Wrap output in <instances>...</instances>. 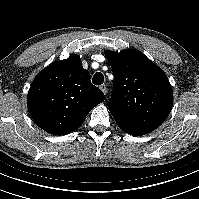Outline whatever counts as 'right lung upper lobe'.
Listing matches in <instances>:
<instances>
[{
    "instance_id": "obj_1",
    "label": "right lung upper lobe",
    "mask_w": 199,
    "mask_h": 199,
    "mask_svg": "<svg viewBox=\"0 0 199 199\" xmlns=\"http://www.w3.org/2000/svg\"><path fill=\"white\" fill-rule=\"evenodd\" d=\"M104 94L90 81L78 55L52 63L33 80L27 107L34 122L54 135L79 128L88 113L104 101Z\"/></svg>"
}]
</instances>
